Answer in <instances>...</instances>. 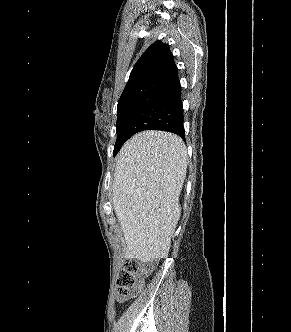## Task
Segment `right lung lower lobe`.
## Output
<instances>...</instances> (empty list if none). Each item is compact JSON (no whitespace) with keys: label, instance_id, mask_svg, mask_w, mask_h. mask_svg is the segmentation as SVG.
<instances>
[{"label":"right lung lower lobe","instance_id":"1","mask_svg":"<svg viewBox=\"0 0 291 332\" xmlns=\"http://www.w3.org/2000/svg\"><path fill=\"white\" fill-rule=\"evenodd\" d=\"M144 130H164L185 139L178 75L141 99L124 130L126 141L135 133Z\"/></svg>","mask_w":291,"mask_h":332}]
</instances>
